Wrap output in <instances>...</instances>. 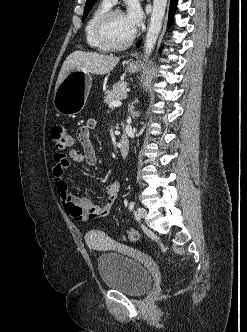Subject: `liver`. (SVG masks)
Segmentation results:
<instances>
[{
	"instance_id": "obj_1",
	"label": "liver",
	"mask_w": 247,
	"mask_h": 332,
	"mask_svg": "<svg viewBox=\"0 0 247 332\" xmlns=\"http://www.w3.org/2000/svg\"><path fill=\"white\" fill-rule=\"evenodd\" d=\"M119 60V57L100 53L74 51L66 58L62 65L55 85V91L67 74L72 70L78 69L87 73L105 75L114 69Z\"/></svg>"
}]
</instances>
